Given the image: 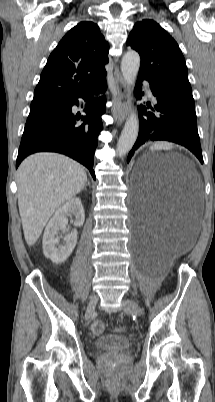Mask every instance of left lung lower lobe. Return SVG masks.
<instances>
[{"label":"left lung lower lobe","instance_id":"obj_1","mask_svg":"<svg viewBox=\"0 0 215 402\" xmlns=\"http://www.w3.org/2000/svg\"><path fill=\"white\" fill-rule=\"evenodd\" d=\"M143 80L150 83L156 104L153 107L150 103H147V107L139 106V134L129 152L127 162L130 161L134 151L144 143L165 140L188 148L203 163L195 105H190L169 95L149 79L140 75H138L135 87L137 99H141L140 90ZM147 108H151L152 111H147Z\"/></svg>","mask_w":215,"mask_h":402}]
</instances>
